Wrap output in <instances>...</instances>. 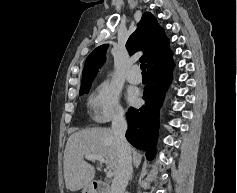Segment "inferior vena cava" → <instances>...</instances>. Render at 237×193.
<instances>
[{"instance_id": "602c4592", "label": "inferior vena cava", "mask_w": 237, "mask_h": 193, "mask_svg": "<svg viewBox=\"0 0 237 193\" xmlns=\"http://www.w3.org/2000/svg\"><path fill=\"white\" fill-rule=\"evenodd\" d=\"M127 122L124 113L117 114L112 121V132L116 141L118 167L112 181L111 193H125L132 172L130 145L125 138Z\"/></svg>"}]
</instances>
